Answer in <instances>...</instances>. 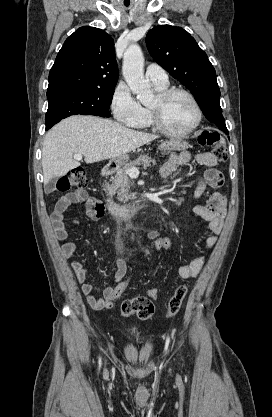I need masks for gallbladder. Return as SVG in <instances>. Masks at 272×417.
<instances>
[{
  "instance_id": "1",
  "label": "gallbladder",
  "mask_w": 272,
  "mask_h": 417,
  "mask_svg": "<svg viewBox=\"0 0 272 417\" xmlns=\"http://www.w3.org/2000/svg\"><path fill=\"white\" fill-rule=\"evenodd\" d=\"M55 181L56 179L53 178L50 182H48L45 186H44V190L45 193H51L55 190Z\"/></svg>"
}]
</instances>
